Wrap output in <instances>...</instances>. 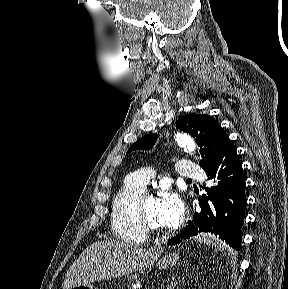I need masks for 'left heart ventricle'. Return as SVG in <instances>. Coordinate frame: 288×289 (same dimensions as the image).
I'll return each instance as SVG.
<instances>
[{"instance_id":"1","label":"left heart ventricle","mask_w":288,"mask_h":289,"mask_svg":"<svg viewBox=\"0 0 288 289\" xmlns=\"http://www.w3.org/2000/svg\"><path fill=\"white\" fill-rule=\"evenodd\" d=\"M144 213L146 217L158 228L162 229L164 225L158 220V201L154 198L147 197L143 204Z\"/></svg>"}]
</instances>
